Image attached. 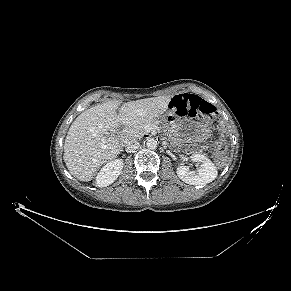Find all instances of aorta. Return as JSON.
Returning <instances> with one entry per match:
<instances>
[{
    "mask_svg": "<svg viewBox=\"0 0 291 291\" xmlns=\"http://www.w3.org/2000/svg\"><path fill=\"white\" fill-rule=\"evenodd\" d=\"M146 145H147V147H148L149 149H156V147H157V141H156V139H154V138H149V139L147 140Z\"/></svg>",
    "mask_w": 291,
    "mask_h": 291,
    "instance_id": "obj_1",
    "label": "aorta"
}]
</instances>
